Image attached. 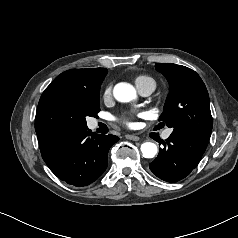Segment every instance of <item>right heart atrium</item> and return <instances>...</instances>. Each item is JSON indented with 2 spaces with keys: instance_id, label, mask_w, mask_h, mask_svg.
<instances>
[{
  "instance_id": "1",
  "label": "right heart atrium",
  "mask_w": 238,
  "mask_h": 238,
  "mask_svg": "<svg viewBox=\"0 0 238 238\" xmlns=\"http://www.w3.org/2000/svg\"><path fill=\"white\" fill-rule=\"evenodd\" d=\"M112 89H113V85L110 83V84H107L103 90V98L105 100H108L111 98L112 96Z\"/></svg>"
}]
</instances>
